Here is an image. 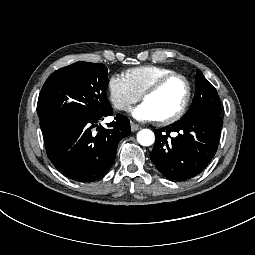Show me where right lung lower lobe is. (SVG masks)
Returning a JSON list of instances; mask_svg holds the SVG:
<instances>
[{"mask_svg":"<svg viewBox=\"0 0 255 255\" xmlns=\"http://www.w3.org/2000/svg\"><path fill=\"white\" fill-rule=\"evenodd\" d=\"M98 121L57 125L44 136L48 158L68 178L80 182L102 178L115 159L118 142L131 133L124 115L117 114L108 127ZM94 127L97 132H92Z\"/></svg>","mask_w":255,"mask_h":255,"instance_id":"1","label":"right lung lower lobe"}]
</instances>
